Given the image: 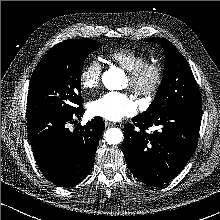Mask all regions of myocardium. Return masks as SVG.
<instances>
[{"label":"myocardium","mask_w":220,"mask_h":220,"mask_svg":"<svg viewBox=\"0 0 220 220\" xmlns=\"http://www.w3.org/2000/svg\"><path fill=\"white\" fill-rule=\"evenodd\" d=\"M130 88L144 98H151L160 89L164 79V69L159 62L147 61L128 73Z\"/></svg>","instance_id":"1"}]
</instances>
